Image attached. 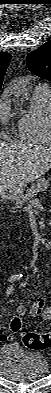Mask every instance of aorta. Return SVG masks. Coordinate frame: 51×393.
<instances>
[{
  "mask_svg": "<svg viewBox=\"0 0 51 393\" xmlns=\"http://www.w3.org/2000/svg\"><path fill=\"white\" fill-rule=\"evenodd\" d=\"M13 90H14L15 94H16L18 97H21V98H23V99L26 98L27 95H28V89H27V87L24 86V85H22V84L16 83V84L14 85Z\"/></svg>",
  "mask_w": 51,
  "mask_h": 393,
  "instance_id": "aorta-1",
  "label": "aorta"
}]
</instances>
